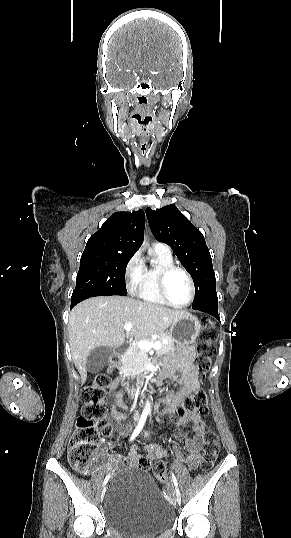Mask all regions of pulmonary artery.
I'll return each instance as SVG.
<instances>
[{
    "mask_svg": "<svg viewBox=\"0 0 291 538\" xmlns=\"http://www.w3.org/2000/svg\"><path fill=\"white\" fill-rule=\"evenodd\" d=\"M154 249L158 250V251H161V252H164V253H167V254H171V249L168 245L164 244V243H156L154 245Z\"/></svg>",
    "mask_w": 291,
    "mask_h": 538,
    "instance_id": "pulmonary-artery-1",
    "label": "pulmonary artery"
}]
</instances>
